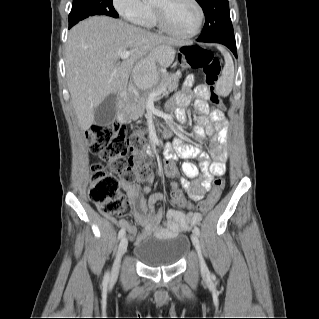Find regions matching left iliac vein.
Instances as JSON below:
<instances>
[{"instance_id":"obj_1","label":"left iliac vein","mask_w":319,"mask_h":319,"mask_svg":"<svg viewBox=\"0 0 319 319\" xmlns=\"http://www.w3.org/2000/svg\"><path fill=\"white\" fill-rule=\"evenodd\" d=\"M191 240H192L193 245L195 246V249L198 253L202 273H208V268H207V265L202 257L200 243H199V239H198V236L196 233H192Z\"/></svg>"}]
</instances>
